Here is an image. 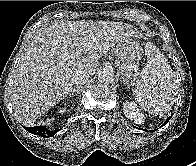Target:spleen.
<instances>
[{"label": "spleen", "instance_id": "3e777b00", "mask_svg": "<svg viewBox=\"0 0 196 166\" xmlns=\"http://www.w3.org/2000/svg\"><path fill=\"white\" fill-rule=\"evenodd\" d=\"M147 63L134 90L135 101L148 113L158 115L170 111L175 102L177 85L167 59L156 46H145Z\"/></svg>", "mask_w": 196, "mask_h": 166}]
</instances>
